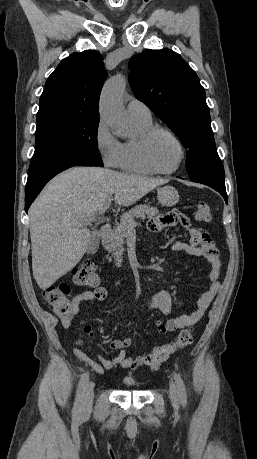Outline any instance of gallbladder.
<instances>
[{
  "label": "gallbladder",
  "mask_w": 257,
  "mask_h": 459,
  "mask_svg": "<svg viewBox=\"0 0 257 459\" xmlns=\"http://www.w3.org/2000/svg\"><path fill=\"white\" fill-rule=\"evenodd\" d=\"M100 237L98 233H92L90 241L88 242L86 252L88 254H94L99 248Z\"/></svg>",
  "instance_id": "bac80fb5"
}]
</instances>
